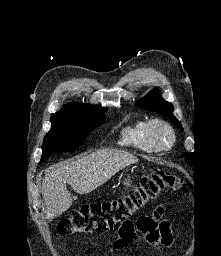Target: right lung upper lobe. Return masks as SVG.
Masks as SVG:
<instances>
[{
    "label": "right lung upper lobe",
    "mask_w": 221,
    "mask_h": 256,
    "mask_svg": "<svg viewBox=\"0 0 221 256\" xmlns=\"http://www.w3.org/2000/svg\"><path fill=\"white\" fill-rule=\"evenodd\" d=\"M87 105H89V104H83V103H80V102L69 103L63 109H61L60 111L54 113L53 115L76 113L81 108H83V107H85Z\"/></svg>",
    "instance_id": "cb5924a9"
}]
</instances>
